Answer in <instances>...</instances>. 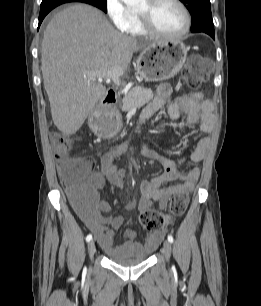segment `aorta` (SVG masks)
<instances>
[{
    "instance_id": "aorta-1",
    "label": "aorta",
    "mask_w": 261,
    "mask_h": 306,
    "mask_svg": "<svg viewBox=\"0 0 261 306\" xmlns=\"http://www.w3.org/2000/svg\"><path fill=\"white\" fill-rule=\"evenodd\" d=\"M127 6L139 5L143 0H122Z\"/></svg>"
}]
</instances>
